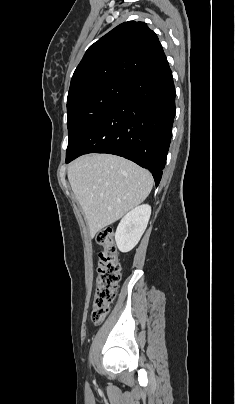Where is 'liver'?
Masks as SVG:
<instances>
[{"label":"liver","instance_id":"1","mask_svg":"<svg viewBox=\"0 0 235 404\" xmlns=\"http://www.w3.org/2000/svg\"><path fill=\"white\" fill-rule=\"evenodd\" d=\"M68 180L83 209L90 235L113 224L151 192V173L111 154L85 155L68 168Z\"/></svg>","mask_w":235,"mask_h":404}]
</instances>
